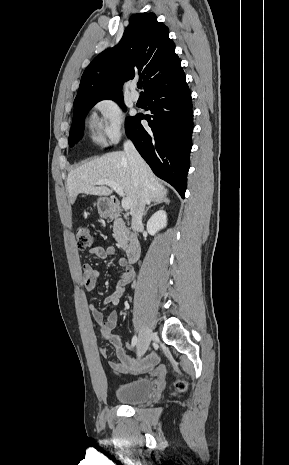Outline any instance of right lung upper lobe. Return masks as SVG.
Segmentation results:
<instances>
[{
    "label": "right lung upper lobe",
    "instance_id": "right-lung-upper-lobe-1",
    "mask_svg": "<svg viewBox=\"0 0 289 465\" xmlns=\"http://www.w3.org/2000/svg\"><path fill=\"white\" fill-rule=\"evenodd\" d=\"M136 75L143 78L145 95L185 78L168 28L154 13L131 16L120 43L87 66L74 104L97 99H122V84Z\"/></svg>",
    "mask_w": 289,
    "mask_h": 465
}]
</instances>
